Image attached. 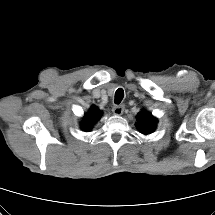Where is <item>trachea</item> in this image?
<instances>
[{"mask_svg":"<svg viewBox=\"0 0 215 215\" xmlns=\"http://www.w3.org/2000/svg\"><path fill=\"white\" fill-rule=\"evenodd\" d=\"M124 97V91L122 88L117 89V91L115 92V103L119 104L122 99Z\"/></svg>","mask_w":215,"mask_h":215,"instance_id":"trachea-1","label":"trachea"}]
</instances>
